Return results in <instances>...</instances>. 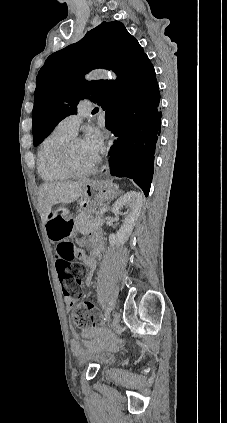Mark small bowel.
I'll return each mask as SVG.
<instances>
[{"instance_id":"1","label":"small bowel","mask_w":227,"mask_h":423,"mask_svg":"<svg viewBox=\"0 0 227 423\" xmlns=\"http://www.w3.org/2000/svg\"><path fill=\"white\" fill-rule=\"evenodd\" d=\"M60 222H69V221L64 219V218H61V217H54L47 222V225H46L47 233H48L49 238L52 241H54V239L51 235L52 228L55 224L60 223ZM86 263L90 268H94L95 264H96V259H94V258L88 259V260H86ZM76 301H77V298L65 297L66 309L68 311H70L73 308V306L75 305ZM102 334L105 336V338L108 341H112L113 337L108 335L107 333L102 332V330H100V329L89 328V329H84L82 331L83 337L87 340V342H86L87 345L92 344L93 340L96 337H98ZM73 350H74L75 354H77V355H80L83 352V346L80 344L79 341L75 340L73 342Z\"/></svg>"}]
</instances>
